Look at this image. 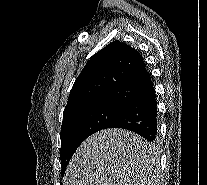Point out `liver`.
I'll return each mask as SVG.
<instances>
[{
    "label": "liver",
    "mask_w": 207,
    "mask_h": 185,
    "mask_svg": "<svg viewBox=\"0 0 207 185\" xmlns=\"http://www.w3.org/2000/svg\"><path fill=\"white\" fill-rule=\"evenodd\" d=\"M140 135L126 129H103L74 153L63 185H147L157 157Z\"/></svg>",
    "instance_id": "1"
}]
</instances>
